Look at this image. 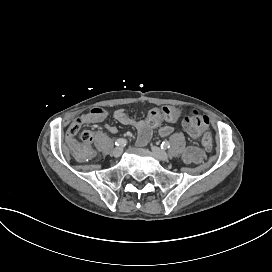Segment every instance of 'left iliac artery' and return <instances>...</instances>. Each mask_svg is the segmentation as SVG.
Instances as JSON below:
<instances>
[{
	"label": "left iliac artery",
	"instance_id": "obj_1",
	"mask_svg": "<svg viewBox=\"0 0 272 272\" xmlns=\"http://www.w3.org/2000/svg\"><path fill=\"white\" fill-rule=\"evenodd\" d=\"M161 148L163 149H167V148H170V143L168 141H163L161 143Z\"/></svg>",
	"mask_w": 272,
	"mask_h": 272
}]
</instances>
